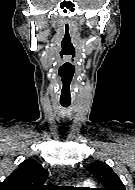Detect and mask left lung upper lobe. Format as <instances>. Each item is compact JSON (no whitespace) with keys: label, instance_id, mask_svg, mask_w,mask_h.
Returning a JSON list of instances; mask_svg holds the SVG:
<instances>
[{"label":"left lung upper lobe","instance_id":"obj_1","mask_svg":"<svg viewBox=\"0 0 135 190\" xmlns=\"http://www.w3.org/2000/svg\"><path fill=\"white\" fill-rule=\"evenodd\" d=\"M104 186L101 190H126L120 178L107 164L96 161L85 167Z\"/></svg>","mask_w":135,"mask_h":190}]
</instances>
